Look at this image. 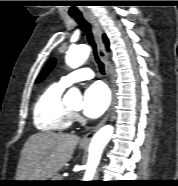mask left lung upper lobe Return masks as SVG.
<instances>
[{"mask_svg":"<svg viewBox=\"0 0 178 186\" xmlns=\"http://www.w3.org/2000/svg\"><path fill=\"white\" fill-rule=\"evenodd\" d=\"M55 59H51L48 64L46 65V67L44 68V70L40 73V75L38 76V78L36 79V83L41 82L46 76L47 74L52 70V68L55 65Z\"/></svg>","mask_w":178,"mask_h":186,"instance_id":"left-lung-upper-lobe-1","label":"left lung upper lobe"}]
</instances>
